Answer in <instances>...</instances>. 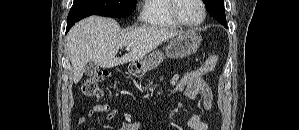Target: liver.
<instances>
[{"label": "liver", "mask_w": 299, "mask_h": 130, "mask_svg": "<svg viewBox=\"0 0 299 130\" xmlns=\"http://www.w3.org/2000/svg\"><path fill=\"white\" fill-rule=\"evenodd\" d=\"M182 31L150 26L134 27L121 32L119 24L112 18L90 16L77 22L66 37V47L73 68V81L78 83L84 68L90 61L102 68H111L142 59L159 44ZM122 47L130 52L118 58Z\"/></svg>", "instance_id": "6515ba94"}]
</instances>
